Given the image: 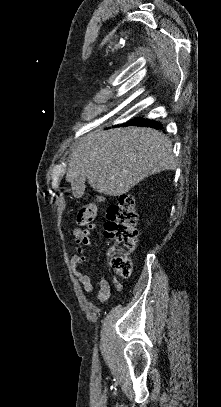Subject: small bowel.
Wrapping results in <instances>:
<instances>
[{"label":"small bowel","instance_id":"obj_1","mask_svg":"<svg viewBox=\"0 0 221 407\" xmlns=\"http://www.w3.org/2000/svg\"><path fill=\"white\" fill-rule=\"evenodd\" d=\"M76 243L78 245V255H74L71 260H70V268L74 271V274L76 275L78 281L82 285V289L85 294H89L93 290V282L91 277L83 272L80 268L88 261V254L89 251L92 247V239L91 237L86 238V239H80L76 240ZM114 287L117 291H120L122 289V283L115 279L113 280ZM99 295L98 299L99 302L104 304L108 301L110 292H111V287L110 283L107 280V278L103 275L100 274L99 276Z\"/></svg>","mask_w":221,"mask_h":407}]
</instances>
